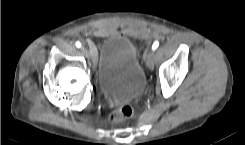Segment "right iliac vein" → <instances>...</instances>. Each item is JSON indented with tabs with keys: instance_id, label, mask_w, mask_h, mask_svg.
Returning <instances> with one entry per match:
<instances>
[{
	"instance_id": "obj_1",
	"label": "right iliac vein",
	"mask_w": 245,
	"mask_h": 145,
	"mask_svg": "<svg viewBox=\"0 0 245 145\" xmlns=\"http://www.w3.org/2000/svg\"><path fill=\"white\" fill-rule=\"evenodd\" d=\"M81 51L86 55H89V51L85 47H81Z\"/></svg>"
}]
</instances>
